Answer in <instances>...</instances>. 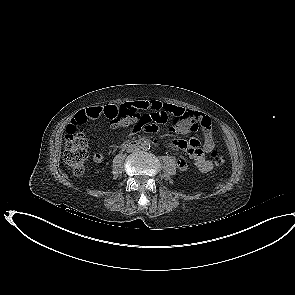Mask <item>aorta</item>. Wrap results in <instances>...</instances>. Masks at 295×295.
<instances>
[{
  "instance_id": "762f6f07",
  "label": "aorta",
  "mask_w": 295,
  "mask_h": 295,
  "mask_svg": "<svg viewBox=\"0 0 295 295\" xmlns=\"http://www.w3.org/2000/svg\"><path fill=\"white\" fill-rule=\"evenodd\" d=\"M140 148H141L142 150H145V151L149 150V149H150V141H149V140H145V141H143V142L140 144Z\"/></svg>"
}]
</instances>
